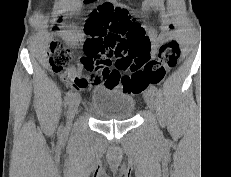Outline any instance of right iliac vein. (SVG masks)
Wrapping results in <instances>:
<instances>
[{"mask_svg": "<svg viewBox=\"0 0 231 177\" xmlns=\"http://www.w3.org/2000/svg\"><path fill=\"white\" fill-rule=\"evenodd\" d=\"M80 100H81L80 95L78 93H75L69 102L68 111H67V124H66L67 130L71 128L73 118L80 104Z\"/></svg>", "mask_w": 231, "mask_h": 177, "instance_id": "63e3f726", "label": "right iliac vein"}]
</instances>
